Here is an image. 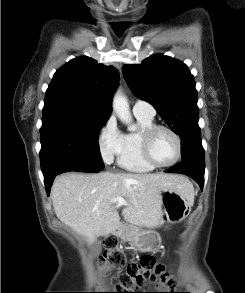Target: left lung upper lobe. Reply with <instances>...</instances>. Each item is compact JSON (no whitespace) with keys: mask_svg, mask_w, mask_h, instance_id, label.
<instances>
[{"mask_svg":"<svg viewBox=\"0 0 245 293\" xmlns=\"http://www.w3.org/2000/svg\"><path fill=\"white\" fill-rule=\"evenodd\" d=\"M124 77L132 91L150 102L181 138L182 161L205 164L195 81L187 66L157 54L139 65H124Z\"/></svg>","mask_w":245,"mask_h":293,"instance_id":"left-lung-upper-lobe-1","label":"left lung upper lobe"}]
</instances>
